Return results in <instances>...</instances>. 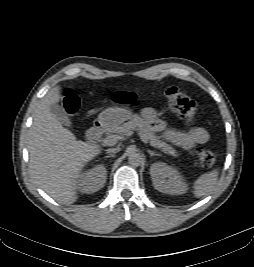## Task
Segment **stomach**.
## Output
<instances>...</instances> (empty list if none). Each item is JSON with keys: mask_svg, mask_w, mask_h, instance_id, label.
<instances>
[{"mask_svg": "<svg viewBox=\"0 0 254 267\" xmlns=\"http://www.w3.org/2000/svg\"><path fill=\"white\" fill-rule=\"evenodd\" d=\"M132 111L128 108L113 107L102 111L98 116V123L106 128L120 125L123 122L132 119Z\"/></svg>", "mask_w": 254, "mask_h": 267, "instance_id": "1", "label": "stomach"}]
</instances>
